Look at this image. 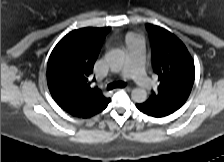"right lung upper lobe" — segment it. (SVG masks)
<instances>
[{
  "label": "right lung upper lobe",
  "instance_id": "cb5924a9",
  "mask_svg": "<svg viewBox=\"0 0 224 162\" xmlns=\"http://www.w3.org/2000/svg\"><path fill=\"white\" fill-rule=\"evenodd\" d=\"M109 27L82 28L64 36L47 64V83L56 103L75 117L89 118L103 111L110 98L92 88L89 80Z\"/></svg>",
  "mask_w": 224,
  "mask_h": 162
}]
</instances>
